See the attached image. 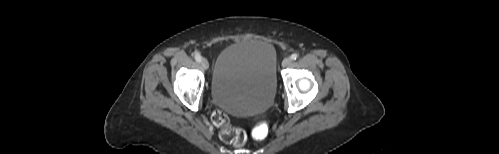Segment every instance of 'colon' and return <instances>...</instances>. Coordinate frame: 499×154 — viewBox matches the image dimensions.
<instances>
[{"label":"colon","instance_id":"1","mask_svg":"<svg viewBox=\"0 0 499 154\" xmlns=\"http://www.w3.org/2000/svg\"><path fill=\"white\" fill-rule=\"evenodd\" d=\"M211 119L214 125L221 129L220 136L224 142L235 146H242L245 144L247 140L246 132L241 128L232 127L228 116L223 111L215 110L212 113ZM267 133V127L260 126L253 132V136L256 138H263Z\"/></svg>","mask_w":499,"mask_h":154}]
</instances>
